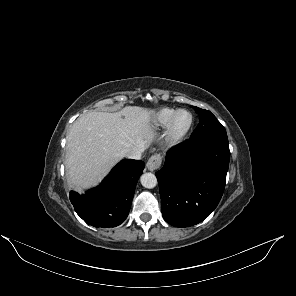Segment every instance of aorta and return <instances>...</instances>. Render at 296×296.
Here are the masks:
<instances>
[{"label": "aorta", "mask_w": 296, "mask_h": 296, "mask_svg": "<svg viewBox=\"0 0 296 296\" xmlns=\"http://www.w3.org/2000/svg\"><path fill=\"white\" fill-rule=\"evenodd\" d=\"M140 181L143 187L152 189L157 185V178L153 173H144L140 177Z\"/></svg>", "instance_id": "obj_1"}]
</instances>
